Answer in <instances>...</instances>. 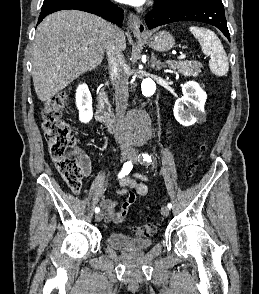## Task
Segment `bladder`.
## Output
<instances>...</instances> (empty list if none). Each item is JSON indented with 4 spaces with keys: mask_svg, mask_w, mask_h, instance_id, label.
<instances>
[{
    "mask_svg": "<svg viewBox=\"0 0 259 294\" xmlns=\"http://www.w3.org/2000/svg\"><path fill=\"white\" fill-rule=\"evenodd\" d=\"M106 241L113 248L127 253L142 252L152 245V241L149 239L131 237L120 232L110 233Z\"/></svg>",
    "mask_w": 259,
    "mask_h": 294,
    "instance_id": "31cf9c89",
    "label": "bladder"
}]
</instances>
